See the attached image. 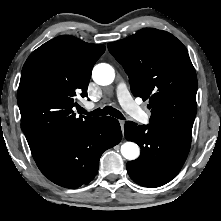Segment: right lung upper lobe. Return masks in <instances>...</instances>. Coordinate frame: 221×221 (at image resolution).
Returning a JSON list of instances; mask_svg holds the SVG:
<instances>
[{
	"label": "right lung upper lobe",
	"instance_id": "cb5924a9",
	"mask_svg": "<svg viewBox=\"0 0 221 221\" xmlns=\"http://www.w3.org/2000/svg\"><path fill=\"white\" fill-rule=\"evenodd\" d=\"M105 46L58 36L30 54L17 92L22 130L34 160L96 120L76 117V99L87 96L95 62Z\"/></svg>",
	"mask_w": 221,
	"mask_h": 221
}]
</instances>
